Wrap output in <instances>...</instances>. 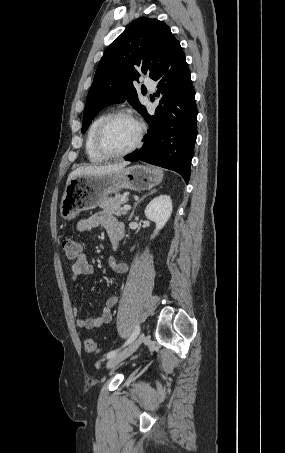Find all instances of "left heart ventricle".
<instances>
[{
	"label": "left heart ventricle",
	"mask_w": 285,
	"mask_h": 453,
	"mask_svg": "<svg viewBox=\"0 0 285 453\" xmlns=\"http://www.w3.org/2000/svg\"><path fill=\"white\" fill-rule=\"evenodd\" d=\"M138 135L137 124L127 117L113 119L105 129L103 143L111 152H120L134 144Z\"/></svg>",
	"instance_id": "obj_1"
}]
</instances>
